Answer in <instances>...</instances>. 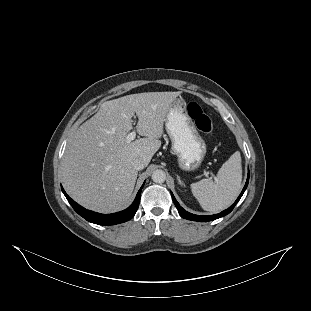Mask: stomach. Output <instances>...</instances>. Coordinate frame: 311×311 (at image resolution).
<instances>
[{"instance_id": "1", "label": "stomach", "mask_w": 311, "mask_h": 311, "mask_svg": "<svg viewBox=\"0 0 311 311\" xmlns=\"http://www.w3.org/2000/svg\"><path fill=\"white\" fill-rule=\"evenodd\" d=\"M165 128L171 140V150L177 166L184 172H194L207 154V144L189 116L186 101L177 98L166 116Z\"/></svg>"}]
</instances>
